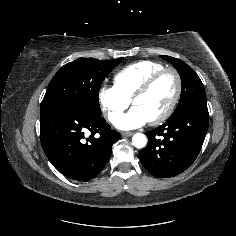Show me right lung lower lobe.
Masks as SVG:
<instances>
[{"label":"right lung lower lobe","mask_w":236,"mask_h":236,"mask_svg":"<svg viewBox=\"0 0 236 236\" xmlns=\"http://www.w3.org/2000/svg\"><path fill=\"white\" fill-rule=\"evenodd\" d=\"M40 132L42 148L53 166L79 181L91 180L104 168L120 137L101 115L71 105L40 113Z\"/></svg>","instance_id":"right-lung-lower-lobe-1"}]
</instances>
